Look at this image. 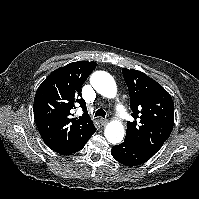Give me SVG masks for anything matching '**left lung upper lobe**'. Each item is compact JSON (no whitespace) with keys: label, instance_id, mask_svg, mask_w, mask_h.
<instances>
[{"label":"left lung upper lobe","instance_id":"left-lung-upper-lobe-1","mask_svg":"<svg viewBox=\"0 0 199 199\" xmlns=\"http://www.w3.org/2000/svg\"><path fill=\"white\" fill-rule=\"evenodd\" d=\"M130 95L131 116L125 139L155 154L170 136L174 125V104L170 94L141 71L122 69Z\"/></svg>","mask_w":199,"mask_h":199}]
</instances>
